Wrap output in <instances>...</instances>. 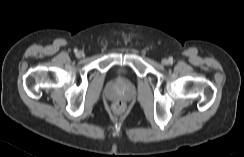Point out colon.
I'll list each match as a JSON object with an SVG mask.
<instances>
[{
  "instance_id": "1",
  "label": "colon",
  "mask_w": 244,
  "mask_h": 157,
  "mask_svg": "<svg viewBox=\"0 0 244 157\" xmlns=\"http://www.w3.org/2000/svg\"><path fill=\"white\" fill-rule=\"evenodd\" d=\"M125 108V105L122 101H117L113 105V109L116 113H122Z\"/></svg>"
}]
</instances>
